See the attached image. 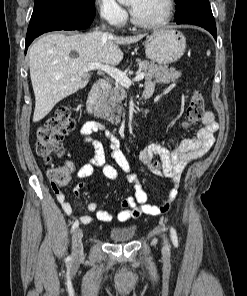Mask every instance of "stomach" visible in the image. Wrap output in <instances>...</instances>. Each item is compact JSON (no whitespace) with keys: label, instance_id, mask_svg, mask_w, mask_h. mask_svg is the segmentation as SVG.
<instances>
[{"label":"stomach","instance_id":"obj_1","mask_svg":"<svg viewBox=\"0 0 247 296\" xmlns=\"http://www.w3.org/2000/svg\"><path fill=\"white\" fill-rule=\"evenodd\" d=\"M145 54L152 62L168 65L178 61L186 49V38L175 29L154 32L144 42Z\"/></svg>","mask_w":247,"mask_h":296}]
</instances>
